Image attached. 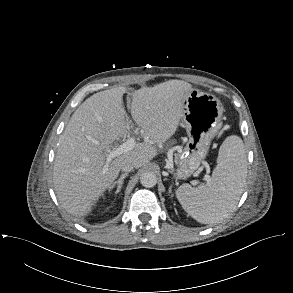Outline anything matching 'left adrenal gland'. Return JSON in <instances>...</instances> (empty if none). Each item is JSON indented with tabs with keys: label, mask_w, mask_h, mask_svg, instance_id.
Masks as SVG:
<instances>
[{
	"label": "left adrenal gland",
	"mask_w": 293,
	"mask_h": 293,
	"mask_svg": "<svg viewBox=\"0 0 293 293\" xmlns=\"http://www.w3.org/2000/svg\"><path fill=\"white\" fill-rule=\"evenodd\" d=\"M169 193H171V187L169 188Z\"/></svg>",
	"instance_id": "left-adrenal-gland-1"
}]
</instances>
